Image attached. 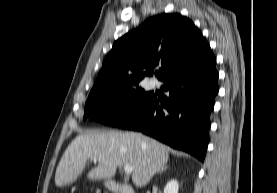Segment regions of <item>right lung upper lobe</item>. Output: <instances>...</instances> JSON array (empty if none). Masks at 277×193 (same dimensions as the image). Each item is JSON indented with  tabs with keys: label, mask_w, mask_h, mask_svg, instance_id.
<instances>
[{
	"label": "right lung upper lobe",
	"mask_w": 277,
	"mask_h": 193,
	"mask_svg": "<svg viewBox=\"0 0 277 193\" xmlns=\"http://www.w3.org/2000/svg\"><path fill=\"white\" fill-rule=\"evenodd\" d=\"M210 47L194 23L178 13L159 14L114 42L90 94L137 86L153 73L163 80L202 57Z\"/></svg>",
	"instance_id": "1"
}]
</instances>
